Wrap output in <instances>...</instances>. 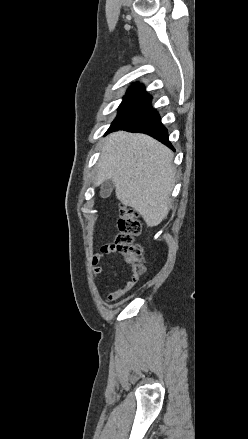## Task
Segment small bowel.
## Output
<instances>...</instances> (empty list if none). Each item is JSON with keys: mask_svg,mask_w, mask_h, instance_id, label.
<instances>
[{"mask_svg": "<svg viewBox=\"0 0 248 439\" xmlns=\"http://www.w3.org/2000/svg\"><path fill=\"white\" fill-rule=\"evenodd\" d=\"M116 248L113 244H107L101 247L100 252L93 255L91 259V265L93 268V276L95 278V283L98 286L97 283V276L103 273L104 269L100 265V261L105 258L107 255L115 253ZM139 277L135 276L134 273H132L131 278L121 287L118 289L112 290L108 284H105V290H106V296L105 300L107 302H113L124 295H126L131 288L138 282Z\"/></svg>", "mask_w": 248, "mask_h": 439, "instance_id": "c3829d8e", "label": "small bowel"}]
</instances>
